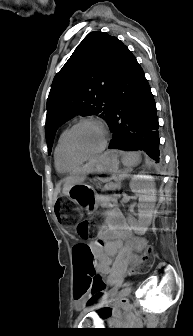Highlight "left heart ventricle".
Instances as JSON below:
<instances>
[{
    "label": "left heart ventricle",
    "instance_id": "1",
    "mask_svg": "<svg viewBox=\"0 0 193 336\" xmlns=\"http://www.w3.org/2000/svg\"><path fill=\"white\" fill-rule=\"evenodd\" d=\"M104 141L102 129L95 124L79 126L72 135V145L80 153L90 154L97 151Z\"/></svg>",
    "mask_w": 193,
    "mask_h": 336
}]
</instances>
